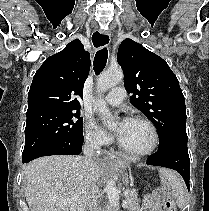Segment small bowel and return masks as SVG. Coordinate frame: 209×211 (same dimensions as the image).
Wrapping results in <instances>:
<instances>
[{
    "label": "small bowel",
    "instance_id": "c3829d8e",
    "mask_svg": "<svg viewBox=\"0 0 209 211\" xmlns=\"http://www.w3.org/2000/svg\"><path fill=\"white\" fill-rule=\"evenodd\" d=\"M166 192L162 188L156 189L151 194H148L144 198V206L147 211H164L163 201H165Z\"/></svg>",
    "mask_w": 209,
    "mask_h": 211
}]
</instances>
